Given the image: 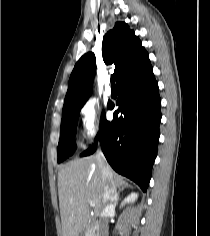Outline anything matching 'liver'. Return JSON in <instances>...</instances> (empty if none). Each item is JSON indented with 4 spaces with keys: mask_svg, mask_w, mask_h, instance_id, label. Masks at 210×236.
Returning a JSON list of instances; mask_svg holds the SVG:
<instances>
[{
    "mask_svg": "<svg viewBox=\"0 0 210 236\" xmlns=\"http://www.w3.org/2000/svg\"><path fill=\"white\" fill-rule=\"evenodd\" d=\"M106 178L96 156L78 158L65 164L58 173V195L63 236H80L90 218V202L99 215L103 206L104 187L117 189L123 178L108 167Z\"/></svg>",
    "mask_w": 210,
    "mask_h": 236,
    "instance_id": "liver-1",
    "label": "liver"
}]
</instances>
